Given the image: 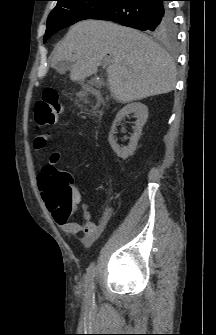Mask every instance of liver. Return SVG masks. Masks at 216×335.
<instances>
[{"mask_svg": "<svg viewBox=\"0 0 216 335\" xmlns=\"http://www.w3.org/2000/svg\"><path fill=\"white\" fill-rule=\"evenodd\" d=\"M52 63L61 65L59 70L68 66L70 79L78 82L106 63L109 89L119 103L169 93L176 84L175 63L160 45L135 29L107 21L73 25Z\"/></svg>", "mask_w": 216, "mask_h": 335, "instance_id": "6515ba94", "label": "liver"}]
</instances>
